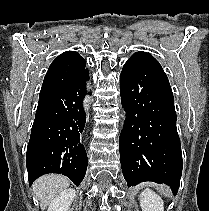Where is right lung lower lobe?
I'll return each mask as SVG.
<instances>
[{
  "label": "right lung lower lobe",
  "instance_id": "obj_1",
  "mask_svg": "<svg viewBox=\"0 0 209 211\" xmlns=\"http://www.w3.org/2000/svg\"><path fill=\"white\" fill-rule=\"evenodd\" d=\"M88 70L75 82L39 100L26 153L31 185L48 173L67 176L78 186L87 169V154L81 143L86 113Z\"/></svg>",
  "mask_w": 209,
  "mask_h": 211
}]
</instances>
